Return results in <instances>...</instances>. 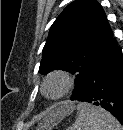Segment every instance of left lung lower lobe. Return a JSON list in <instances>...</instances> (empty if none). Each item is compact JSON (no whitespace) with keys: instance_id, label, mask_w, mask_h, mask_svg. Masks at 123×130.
I'll return each instance as SVG.
<instances>
[{"instance_id":"obj_1","label":"left lung lower lobe","mask_w":123,"mask_h":130,"mask_svg":"<svg viewBox=\"0 0 123 130\" xmlns=\"http://www.w3.org/2000/svg\"><path fill=\"white\" fill-rule=\"evenodd\" d=\"M75 100L103 107L123 125V57L116 41L95 61Z\"/></svg>"}]
</instances>
